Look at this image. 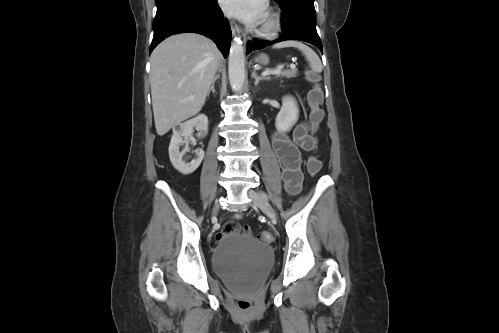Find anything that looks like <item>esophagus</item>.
<instances>
[{
	"label": "esophagus",
	"mask_w": 499,
	"mask_h": 333,
	"mask_svg": "<svg viewBox=\"0 0 499 333\" xmlns=\"http://www.w3.org/2000/svg\"><path fill=\"white\" fill-rule=\"evenodd\" d=\"M230 25H231V30H232L233 36L240 37L242 35V31H241L240 27L233 20L230 22Z\"/></svg>",
	"instance_id": "obj_1"
}]
</instances>
